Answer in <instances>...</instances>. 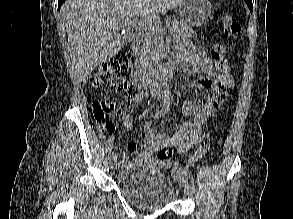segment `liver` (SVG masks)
Listing matches in <instances>:
<instances>
[{
	"label": "liver",
	"mask_w": 293,
	"mask_h": 219,
	"mask_svg": "<svg viewBox=\"0 0 293 219\" xmlns=\"http://www.w3.org/2000/svg\"><path fill=\"white\" fill-rule=\"evenodd\" d=\"M183 1L66 0L61 13L80 80H85L95 67L130 42L132 34L119 31L132 27L143 29V26L150 29V25L159 23V14H165Z\"/></svg>",
	"instance_id": "1"
}]
</instances>
